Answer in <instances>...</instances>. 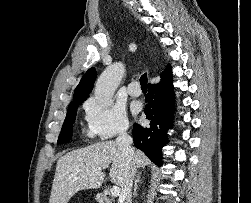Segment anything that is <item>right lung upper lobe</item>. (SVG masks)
<instances>
[{"label": "right lung upper lobe", "mask_w": 251, "mask_h": 203, "mask_svg": "<svg viewBox=\"0 0 251 203\" xmlns=\"http://www.w3.org/2000/svg\"><path fill=\"white\" fill-rule=\"evenodd\" d=\"M96 79V71L94 68H90L82 77L78 86L75 89L73 101L70 103L83 102L92 91L93 84Z\"/></svg>", "instance_id": "cb5924a9"}]
</instances>
